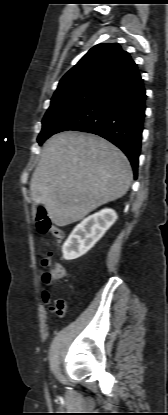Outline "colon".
I'll return each instance as SVG.
<instances>
[{
	"instance_id": "5ec220e1",
	"label": "colon",
	"mask_w": 168,
	"mask_h": 415,
	"mask_svg": "<svg viewBox=\"0 0 168 415\" xmlns=\"http://www.w3.org/2000/svg\"><path fill=\"white\" fill-rule=\"evenodd\" d=\"M36 227L40 234H50L58 243L62 242L64 238L62 230L52 224L43 208L38 210ZM43 264L47 268L43 276V280L46 284L58 282L64 277L62 266L53 262L50 258L43 259Z\"/></svg>"
}]
</instances>
